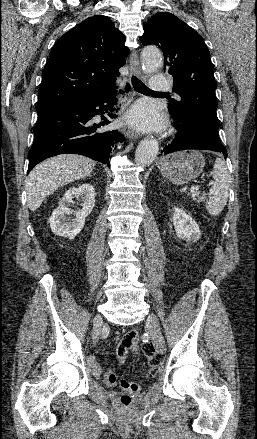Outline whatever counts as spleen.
<instances>
[{"instance_id": "obj_1", "label": "spleen", "mask_w": 257, "mask_h": 439, "mask_svg": "<svg viewBox=\"0 0 257 439\" xmlns=\"http://www.w3.org/2000/svg\"><path fill=\"white\" fill-rule=\"evenodd\" d=\"M213 178L214 182L209 191L206 209L211 216H218L227 203L230 183L226 163L220 158L215 160Z\"/></svg>"}]
</instances>
